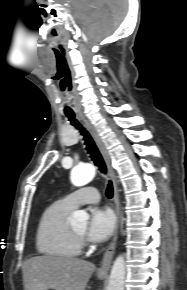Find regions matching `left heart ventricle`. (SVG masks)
<instances>
[{"instance_id":"left-heart-ventricle-1","label":"left heart ventricle","mask_w":187,"mask_h":290,"mask_svg":"<svg viewBox=\"0 0 187 290\" xmlns=\"http://www.w3.org/2000/svg\"><path fill=\"white\" fill-rule=\"evenodd\" d=\"M73 230L80 235H84L86 232V227H84V226L76 227V228H73Z\"/></svg>"}]
</instances>
